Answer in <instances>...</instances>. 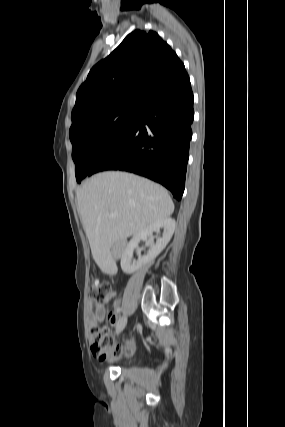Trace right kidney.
Returning <instances> with one entry per match:
<instances>
[{
  "mask_svg": "<svg viewBox=\"0 0 285 427\" xmlns=\"http://www.w3.org/2000/svg\"><path fill=\"white\" fill-rule=\"evenodd\" d=\"M175 226V220L168 217L164 220L153 223L141 232L134 234L121 257V268L123 272L126 274H132L141 267L149 265L166 247L174 233ZM161 228L163 229V235L161 238L157 239L156 243H154L153 232L159 233ZM141 240L146 242V246L149 247V251L146 255L139 256L137 261H132L133 251L138 248V244Z\"/></svg>",
  "mask_w": 285,
  "mask_h": 427,
  "instance_id": "1",
  "label": "right kidney"
}]
</instances>
